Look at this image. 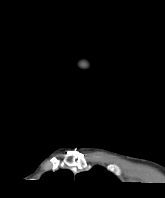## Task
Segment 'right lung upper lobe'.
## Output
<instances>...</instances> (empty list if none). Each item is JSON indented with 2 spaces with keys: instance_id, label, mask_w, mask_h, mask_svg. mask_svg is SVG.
<instances>
[{
  "instance_id": "right-lung-upper-lobe-1",
  "label": "right lung upper lobe",
  "mask_w": 165,
  "mask_h": 198,
  "mask_svg": "<svg viewBox=\"0 0 165 198\" xmlns=\"http://www.w3.org/2000/svg\"><path fill=\"white\" fill-rule=\"evenodd\" d=\"M42 179L52 181H70L74 179V176L69 170H60L55 173H46Z\"/></svg>"
}]
</instances>
